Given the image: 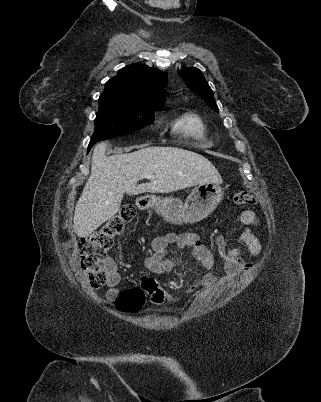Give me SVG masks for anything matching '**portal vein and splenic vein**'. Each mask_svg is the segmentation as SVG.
Listing matches in <instances>:
<instances>
[{
  "label": "portal vein and splenic vein",
  "mask_w": 321,
  "mask_h": 402,
  "mask_svg": "<svg viewBox=\"0 0 321 402\" xmlns=\"http://www.w3.org/2000/svg\"><path fill=\"white\" fill-rule=\"evenodd\" d=\"M141 178L154 179V176L149 173H142Z\"/></svg>",
  "instance_id": "obj_1"
}]
</instances>
